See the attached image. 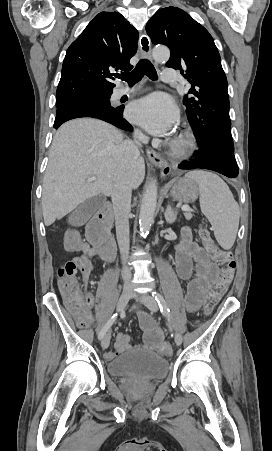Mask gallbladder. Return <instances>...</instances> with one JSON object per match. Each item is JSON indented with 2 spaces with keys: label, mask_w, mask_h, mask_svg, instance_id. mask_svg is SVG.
I'll list each match as a JSON object with an SVG mask.
<instances>
[{
  "label": "gallbladder",
  "mask_w": 272,
  "mask_h": 451,
  "mask_svg": "<svg viewBox=\"0 0 272 451\" xmlns=\"http://www.w3.org/2000/svg\"><path fill=\"white\" fill-rule=\"evenodd\" d=\"M97 208H99V206L98 204H94L93 198L86 200L84 204H81L77 210H74V212L70 214L68 220L69 224H71V226H81V224H85V222L93 216ZM81 210H83V212H81Z\"/></svg>",
  "instance_id": "gallbladder-1"
}]
</instances>
